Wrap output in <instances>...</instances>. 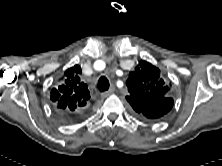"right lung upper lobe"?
Masks as SVG:
<instances>
[{
  "instance_id": "obj_1",
  "label": "right lung upper lobe",
  "mask_w": 222,
  "mask_h": 166,
  "mask_svg": "<svg viewBox=\"0 0 222 166\" xmlns=\"http://www.w3.org/2000/svg\"><path fill=\"white\" fill-rule=\"evenodd\" d=\"M80 75L79 65L67 69L59 87L51 92V100L57 105L59 112L70 118L77 115L90 98L87 85L80 81Z\"/></svg>"
}]
</instances>
